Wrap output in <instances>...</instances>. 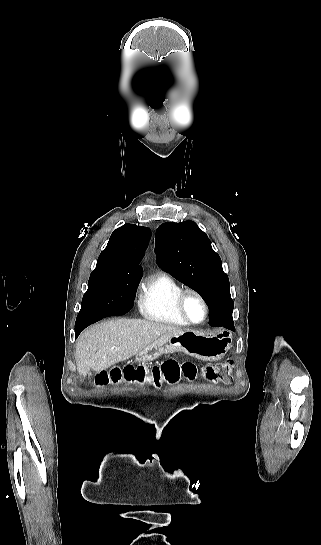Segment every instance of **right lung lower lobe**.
Returning <instances> with one entry per match:
<instances>
[{
	"label": "right lung lower lobe",
	"mask_w": 321,
	"mask_h": 545,
	"mask_svg": "<svg viewBox=\"0 0 321 545\" xmlns=\"http://www.w3.org/2000/svg\"><path fill=\"white\" fill-rule=\"evenodd\" d=\"M135 298L134 295H121L114 298L110 303L107 304L102 318L115 315H123L127 313L133 307V301ZM100 318V319H102ZM100 319H95L91 321L76 322L75 324V336L77 337L80 332L89 326L92 323L97 322Z\"/></svg>",
	"instance_id": "obj_1"
}]
</instances>
